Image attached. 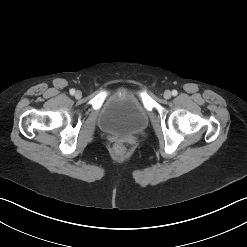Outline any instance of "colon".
Listing matches in <instances>:
<instances>
[{
  "mask_svg": "<svg viewBox=\"0 0 247 247\" xmlns=\"http://www.w3.org/2000/svg\"><path fill=\"white\" fill-rule=\"evenodd\" d=\"M114 152L118 158H124L126 155L125 148L122 145H116Z\"/></svg>",
  "mask_w": 247,
  "mask_h": 247,
  "instance_id": "colon-1",
  "label": "colon"
}]
</instances>
